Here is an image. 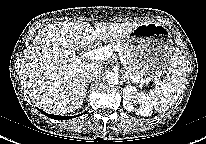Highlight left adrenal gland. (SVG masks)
Masks as SVG:
<instances>
[{"mask_svg": "<svg viewBox=\"0 0 206 144\" xmlns=\"http://www.w3.org/2000/svg\"><path fill=\"white\" fill-rule=\"evenodd\" d=\"M123 78L126 79L128 83L132 82L131 79L126 74L123 75Z\"/></svg>", "mask_w": 206, "mask_h": 144, "instance_id": "1", "label": "left adrenal gland"}]
</instances>
